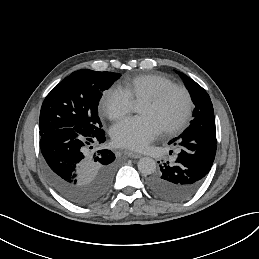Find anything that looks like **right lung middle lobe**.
Returning <instances> with one entry per match:
<instances>
[{"label":"right lung middle lobe","mask_w":259,"mask_h":259,"mask_svg":"<svg viewBox=\"0 0 259 259\" xmlns=\"http://www.w3.org/2000/svg\"><path fill=\"white\" fill-rule=\"evenodd\" d=\"M120 77L118 73L81 69L63 79L46 96L40 111V135L73 128L90 136L102 130L98 103L104 90Z\"/></svg>","instance_id":"1"}]
</instances>
